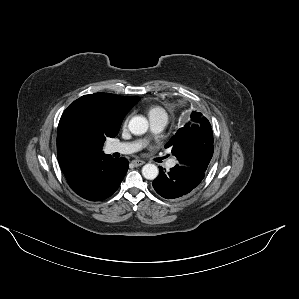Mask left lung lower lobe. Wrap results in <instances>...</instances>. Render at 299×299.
I'll list each match as a JSON object with an SVG mask.
<instances>
[{
	"label": "left lung lower lobe",
	"mask_w": 299,
	"mask_h": 299,
	"mask_svg": "<svg viewBox=\"0 0 299 299\" xmlns=\"http://www.w3.org/2000/svg\"><path fill=\"white\" fill-rule=\"evenodd\" d=\"M205 176V172L181 164L168 173L160 167L159 176L153 181L155 191L166 199H175L190 193Z\"/></svg>",
	"instance_id": "0a47b994"
}]
</instances>
